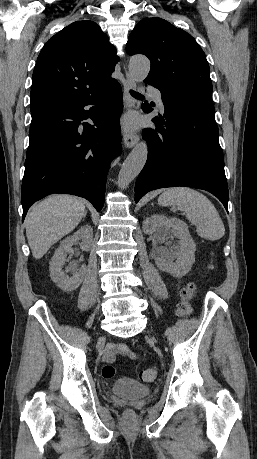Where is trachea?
I'll list each match as a JSON object with an SVG mask.
<instances>
[{"instance_id": "3493384b", "label": "trachea", "mask_w": 257, "mask_h": 459, "mask_svg": "<svg viewBox=\"0 0 257 459\" xmlns=\"http://www.w3.org/2000/svg\"><path fill=\"white\" fill-rule=\"evenodd\" d=\"M131 95L135 98H142L143 96L141 94H139L138 92H135V91H130Z\"/></svg>"}]
</instances>
